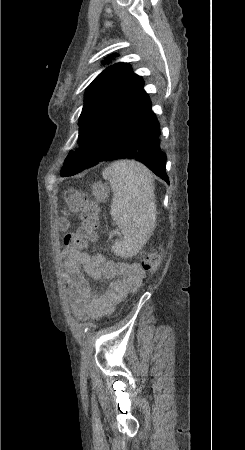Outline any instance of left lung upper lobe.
I'll use <instances>...</instances> for the list:
<instances>
[{
    "label": "left lung upper lobe",
    "mask_w": 245,
    "mask_h": 450,
    "mask_svg": "<svg viewBox=\"0 0 245 450\" xmlns=\"http://www.w3.org/2000/svg\"><path fill=\"white\" fill-rule=\"evenodd\" d=\"M108 57L106 62L110 61ZM151 101L143 89V79L127 63L106 68L89 85L79 120L78 141L98 146V153L120 150L141 125ZM91 153L70 152L61 176L74 175L102 161Z\"/></svg>",
    "instance_id": "obj_1"
}]
</instances>
